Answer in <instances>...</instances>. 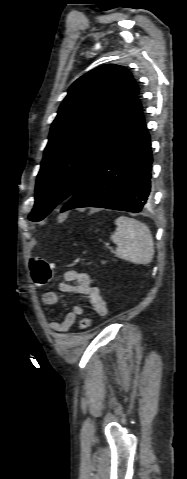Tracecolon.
<instances>
[{
  "label": "colon",
  "instance_id": "colon-1",
  "mask_svg": "<svg viewBox=\"0 0 187 479\" xmlns=\"http://www.w3.org/2000/svg\"><path fill=\"white\" fill-rule=\"evenodd\" d=\"M29 268L31 277L36 285L47 284L53 274V265L44 259L34 256L29 261ZM91 326V319L84 317L80 320L79 327L82 330L89 329Z\"/></svg>",
  "mask_w": 187,
  "mask_h": 479
}]
</instances>
